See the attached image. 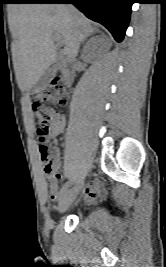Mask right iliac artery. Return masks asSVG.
I'll return each mask as SVG.
<instances>
[{
    "label": "right iliac artery",
    "instance_id": "82829eb1",
    "mask_svg": "<svg viewBox=\"0 0 166 267\" xmlns=\"http://www.w3.org/2000/svg\"><path fill=\"white\" fill-rule=\"evenodd\" d=\"M68 188H69V183L67 182L63 185V187L59 192V200H61L66 195Z\"/></svg>",
    "mask_w": 166,
    "mask_h": 267
}]
</instances>
